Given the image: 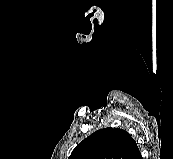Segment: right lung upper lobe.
I'll return each mask as SVG.
<instances>
[{
    "label": "right lung upper lobe",
    "mask_w": 173,
    "mask_h": 159,
    "mask_svg": "<svg viewBox=\"0 0 173 159\" xmlns=\"http://www.w3.org/2000/svg\"><path fill=\"white\" fill-rule=\"evenodd\" d=\"M68 159H142V156L128 132L110 127L84 139Z\"/></svg>",
    "instance_id": "right-lung-upper-lobe-1"
}]
</instances>
